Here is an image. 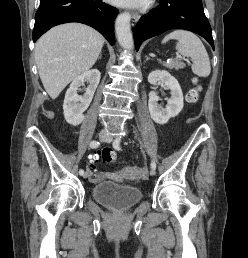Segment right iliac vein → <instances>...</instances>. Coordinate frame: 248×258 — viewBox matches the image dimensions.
<instances>
[{
  "label": "right iliac vein",
  "instance_id": "1",
  "mask_svg": "<svg viewBox=\"0 0 248 258\" xmlns=\"http://www.w3.org/2000/svg\"><path fill=\"white\" fill-rule=\"evenodd\" d=\"M108 134L106 133V132H104V131H101L100 133H99V139L101 140V141H105L107 138H108ZM89 176V173L88 172H85L84 174H83V177L84 178H87Z\"/></svg>",
  "mask_w": 248,
  "mask_h": 258
}]
</instances>
